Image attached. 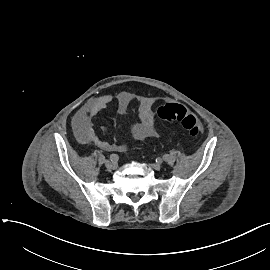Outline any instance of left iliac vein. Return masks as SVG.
I'll return each mask as SVG.
<instances>
[{"label":"left iliac vein","mask_w":270,"mask_h":270,"mask_svg":"<svg viewBox=\"0 0 270 270\" xmlns=\"http://www.w3.org/2000/svg\"><path fill=\"white\" fill-rule=\"evenodd\" d=\"M150 166L154 170H160L161 169V164L160 163L151 164Z\"/></svg>","instance_id":"obj_1"}]
</instances>
